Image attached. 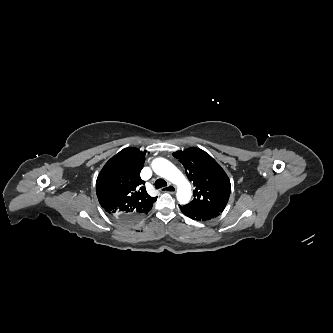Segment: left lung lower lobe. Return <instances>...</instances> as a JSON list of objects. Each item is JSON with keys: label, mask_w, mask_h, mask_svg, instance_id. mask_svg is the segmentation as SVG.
<instances>
[{"label": "left lung lower lobe", "mask_w": 333, "mask_h": 333, "mask_svg": "<svg viewBox=\"0 0 333 333\" xmlns=\"http://www.w3.org/2000/svg\"><path fill=\"white\" fill-rule=\"evenodd\" d=\"M181 212L190 217L193 220L206 221L217 217L220 213L216 212H199L185 207L184 205H179Z\"/></svg>", "instance_id": "0a47b994"}]
</instances>
